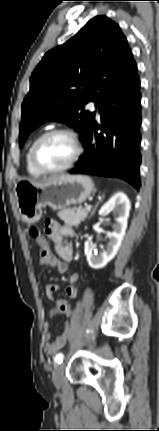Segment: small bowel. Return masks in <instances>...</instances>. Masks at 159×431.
Listing matches in <instances>:
<instances>
[{"mask_svg":"<svg viewBox=\"0 0 159 431\" xmlns=\"http://www.w3.org/2000/svg\"><path fill=\"white\" fill-rule=\"evenodd\" d=\"M45 233L51 240L53 248L49 245V249H51L52 253L49 257L46 256L45 251H41L40 265L54 267L57 269L58 273L64 274L68 270V261L72 256V247L64 240V238L74 236V230L68 225H60L56 221L48 219L45 221ZM78 279V274H72L68 279V285L65 288V292L70 299H74L78 295V291L74 286ZM60 289L61 287L57 284H48L46 286V296L56 303L55 307L49 310V317H54L58 314L66 315V310H72V307L67 300L56 297V294ZM68 337L69 329L66 325L64 331L52 340L50 324L49 322L44 323L43 339L45 342V352L47 354L55 355L65 346Z\"/></svg>","mask_w":159,"mask_h":431,"instance_id":"obj_1","label":"small bowel"}]
</instances>
